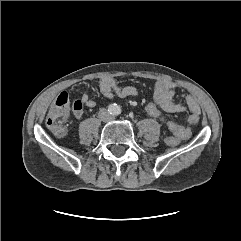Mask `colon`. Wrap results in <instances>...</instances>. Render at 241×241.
Instances as JSON below:
<instances>
[{
  "mask_svg": "<svg viewBox=\"0 0 241 241\" xmlns=\"http://www.w3.org/2000/svg\"><path fill=\"white\" fill-rule=\"evenodd\" d=\"M71 110L74 113L82 110V104L76 100L70 103L67 95L61 93L51 105L47 117L46 125L56 135H63L66 129V124ZM145 112L157 122L165 125L167 129L172 133V136L166 139V143L170 146L179 144L182 139H187L191 135V130L187 127L181 126L174 121L168 119L160 108L154 102H148L144 106ZM199 117L197 115H190L187 119V123L190 126L197 125Z\"/></svg>",
  "mask_w": 241,
  "mask_h": 241,
  "instance_id": "1",
  "label": "colon"
}]
</instances>
